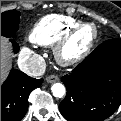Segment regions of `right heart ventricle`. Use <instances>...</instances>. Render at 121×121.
Instances as JSON below:
<instances>
[{
    "mask_svg": "<svg viewBox=\"0 0 121 121\" xmlns=\"http://www.w3.org/2000/svg\"><path fill=\"white\" fill-rule=\"evenodd\" d=\"M78 23L77 19L64 15H47L34 25L30 33V39L36 44L51 46Z\"/></svg>",
    "mask_w": 121,
    "mask_h": 121,
    "instance_id": "obj_1",
    "label": "right heart ventricle"
}]
</instances>
